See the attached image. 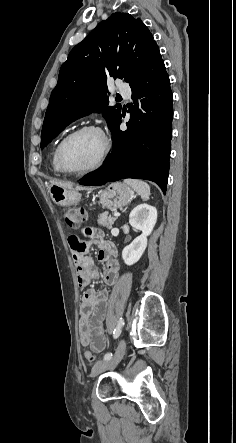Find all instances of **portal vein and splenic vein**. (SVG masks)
Here are the masks:
<instances>
[{"mask_svg":"<svg viewBox=\"0 0 236 443\" xmlns=\"http://www.w3.org/2000/svg\"><path fill=\"white\" fill-rule=\"evenodd\" d=\"M114 216H115V217H119V216H120V213H117V212H116V213H114Z\"/></svg>","mask_w":236,"mask_h":443,"instance_id":"obj_1","label":"portal vein and splenic vein"}]
</instances>
